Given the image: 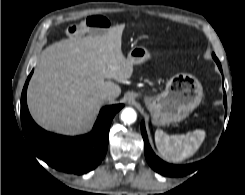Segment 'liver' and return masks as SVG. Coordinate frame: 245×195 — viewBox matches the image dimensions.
<instances>
[{"label": "liver", "mask_w": 245, "mask_h": 195, "mask_svg": "<svg viewBox=\"0 0 245 195\" xmlns=\"http://www.w3.org/2000/svg\"><path fill=\"white\" fill-rule=\"evenodd\" d=\"M125 25L103 35L65 39L45 48L30 81L27 102L34 120L46 130L76 135L88 129L104 100L121 88L111 79L131 78L132 62L122 53Z\"/></svg>", "instance_id": "1"}]
</instances>
